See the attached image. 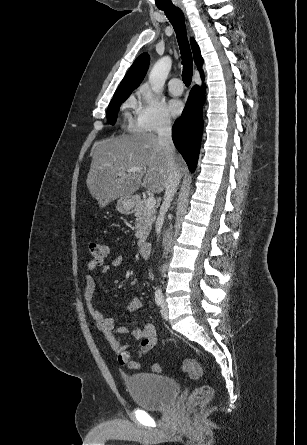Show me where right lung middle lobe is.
Masks as SVG:
<instances>
[{
	"mask_svg": "<svg viewBox=\"0 0 307 445\" xmlns=\"http://www.w3.org/2000/svg\"><path fill=\"white\" fill-rule=\"evenodd\" d=\"M127 98H123L114 102H111L107 109V121L109 124L114 125L117 119V112L119 111V107L122 102H124Z\"/></svg>",
	"mask_w": 307,
	"mask_h": 445,
	"instance_id": "1",
	"label": "right lung middle lobe"
}]
</instances>
